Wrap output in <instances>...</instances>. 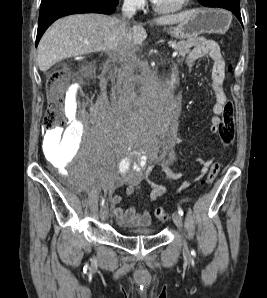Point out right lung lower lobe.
Segmentation results:
<instances>
[{
  "mask_svg": "<svg viewBox=\"0 0 267 298\" xmlns=\"http://www.w3.org/2000/svg\"><path fill=\"white\" fill-rule=\"evenodd\" d=\"M119 0H42L36 46L45 30L58 18L77 13L110 14Z\"/></svg>",
  "mask_w": 267,
  "mask_h": 298,
  "instance_id": "1",
  "label": "right lung lower lobe"
}]
</instances>
